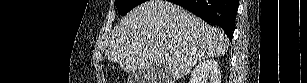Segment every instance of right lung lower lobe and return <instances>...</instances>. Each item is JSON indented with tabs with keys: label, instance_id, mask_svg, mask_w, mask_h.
Instances as JSON below:
<instances>
[{
	"label": "right lung lower lobe",
	"instance_id": "obj_1",
	"mask_svg": "<svg viewBox=\"0 0 307 83\" xmlns=\"http://www.w3.org/2000/svg\"><path fill=\"white\" fill-rule=\"evenodd\" d=\"M210 25L220 26L229 39L233 37L238 0H172Z\"/></svg>",
	"mask_w": 307,
	"mask_h": 83
}]
</instances>
